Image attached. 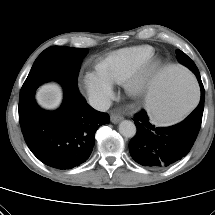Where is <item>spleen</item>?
Here are the masks:
<instances>
[{
  "mask_svg": "<svg viewBox=\"0 0 215 215\" xmlns=\"http://www.w3.org/2000/svg\"><path fill=\"white\" fill-rule=\"evenodd\" d=\"M198 79L181 66L163 69L147 95V109L158 124L180 120L200 101Z\"/></svg>",
  "mask_w": 215,
  "mask_h": 215,
  "instance_id": "obj_1",
  "label": "spleen"
}]
</instances>
